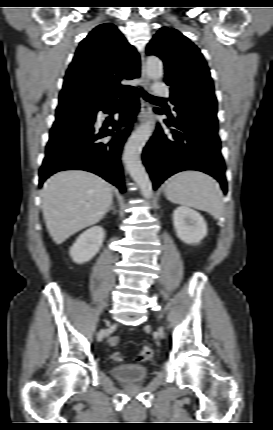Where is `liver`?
Listing matches in <instances>:
<instances>
[{"label":"liver","instance_id":"6515ba94","mask_svg":"<svg viewBox=\"0 0 273 430\" xmlns=\"http://www.w3.org/2000/svg\"><path fill=\"white\" fill-rule=\"evenodd\" d=\"M46 227L56 244L98 223L112 204V187L85 170H65L51 176L41 192Z\"/></svg>","mask_w":273,"mask_h":430}]
</instances>
